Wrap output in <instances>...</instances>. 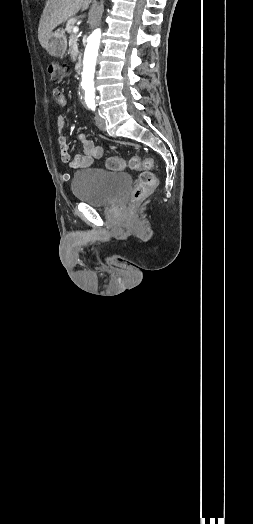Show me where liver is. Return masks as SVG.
Instances as JSON below:
<instances>
[{
	"label": "liver",
	"mask_w": 253,
	"mask_h": 524,
	"mask_svg": "<svg viewBox=\"0 0 253 524\" xmlns=\"http://www.w3.org/2000/svg\"><path fill=\"white\" fill-rule=\"evenodd\" d=\"M92 0H47L38 27V39L46 49L50 35L57 26L75 15L79 10L88 9Z\"/></svg>",
	"instance_id": "obj_1"
}]
</instances>
